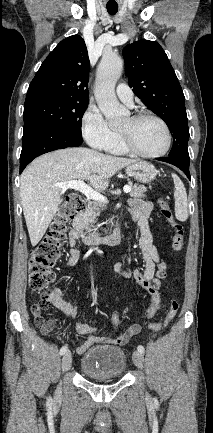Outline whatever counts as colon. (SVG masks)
I'll return each instance as SVG.
<instances>
[{"label":"colon","instance_id":"colon-1","mask_svg":"<svg viewBox=\"0 0 213 433\" xmlns=\"http://www.w3.org/2000/svg\"><path fill=\"white\" fill-rule=\"evenodd\" d=\"M84 203L85 201L81 195L77 193L68 195L59 206L53 221L41 241L31 250L29 259V285L33 290L42 293L41 301L34 304L31 308L34 320L39 326H44L47 322L44 313L50 306L47 295L51 291L50 285L55 278L53 268L61 255V249L66 241L69 225L83 208ZM158 206L161 216L172 229L171 244L173 250L176 252L181 251L184 245L182 226L175 221L172 209L165 199L160 198ZM158 276L160 279L166 277L164 264L159 267ZM178 310L179 302L172 300L165 318L161 322L152 323L150 329L156 331L166 327L176 316ZM120 319L119 314H114L111 318L112 324L116 327ZM131 336L132 332L126 330L122 334V339L128 340Z\"/></svg>","mask_w":213,"mask_h":433}]
</instances>
